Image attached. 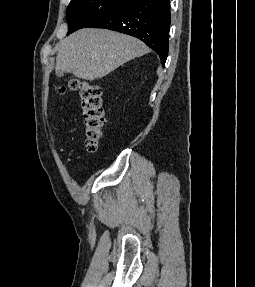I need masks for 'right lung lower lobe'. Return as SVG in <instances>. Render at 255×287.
Wrapping results in <instances>:
<instances>
[{
	"label": "right lung lower lobe",
	"mask_w": 255,
	"mask_h": 287,
	"mask_svg": "<svg viewBox=\"0 0 255 287\" xmlns=\"http://www.w3.org/2000/svg\"><path fill=\"white\" fill-rule=\"evenodd\" d=\"M170 0H128L87 27L122 32L142 40L165 65L171 22Z\"/></svg>",
	"instance_id": "98d812e1"
}]
</instances>
